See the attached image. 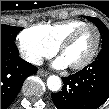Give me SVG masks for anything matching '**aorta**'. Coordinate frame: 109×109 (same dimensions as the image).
Returning a JSON list of instances; mask_svg holds the SVG:
<instances>
[{
	"label": "aorta",
	"instance_id": "762f6f07",
	"mask_svg": "<svg viewBox=\"0 0 109 109\" xmlns=\"http://www.w3.org/2000/svg\"><path fill=\"white\" fill-rule=\"evenodd\" d=\"M61 79L56 76V75H52L49 76L47 79V87L49 88V90L57 92L61 89Z\"/></svg>",
	"mask_w": 109,
	"mask_h": 109
}]
</instances>
